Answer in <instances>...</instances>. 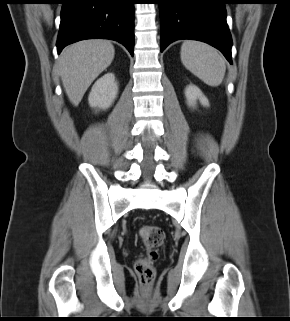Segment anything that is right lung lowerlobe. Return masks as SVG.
<instances>
[{
    "label": "right lung lower lobe",
    "instance_id": "98d812e1",
    "mask_svg": "<svg viewBox=\"0 0 290 321\" xmlns=\"http://www.w3.org/2000/svg\"><path fill=\"white\" fill-rule=\"evenodd\" d=\"M134 0H63L58 53L74 42L104 38L123 44L133 56Z\"/></svg>",
    "mask_w": 290,
    "mask_h": 321
}]
</instances>
